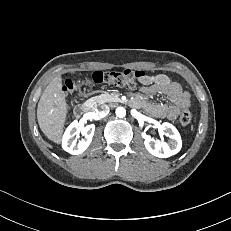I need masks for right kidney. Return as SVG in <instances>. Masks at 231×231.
Listing matches in <instances>:
<instances>
[{
	"mask_svg": "<svg viewBox=\"0 0 231 231\" xmlns=\"http://www.w3.org/2000/svg\"><path fill=\"white\" fill-rule=\"evenodd\" d=\"M94 131V124L82 127L78 124L77 121L72 122L64 133L62 140L63 149L73 155H79L83 153L90 145ZM80 132L84 136V139L77 143L76 138L74 137H79Z\"/></svg>",
	"mask_w": 231,
	"mask_h": 231,
	"instance_id": "obj_1",
	"label": "right kidney"
}]
</instances>
